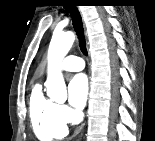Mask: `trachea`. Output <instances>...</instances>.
Returning <instances> with one entry per match:
<instances>
[{"label": "trachea", "mask_w": 155, "mask_h": 141, "mask_svg": "<svg viewBox=\"0 0 155 141\" xmlns=\"http://www.w3.org/2000/svg\"><path fill=\"white\" fill-rule=\"evenodd\" d=\"M65 8L71 14L73 26L79 39L80 50L82 51L84 55H88L81 15L78 9L71 4L65 6Z\"/></svg>", "instance_id": "1"}]
</instances>
